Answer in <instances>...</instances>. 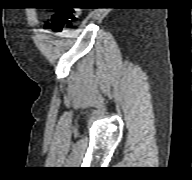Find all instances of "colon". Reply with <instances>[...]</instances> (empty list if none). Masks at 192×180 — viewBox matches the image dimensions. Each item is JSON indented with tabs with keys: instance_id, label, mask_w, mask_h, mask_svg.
Here are the masks:
<instances>
[{
	"instance_id": "obj_1",
	"label": "colon",
	"mask_w": 192,
	"mask_h": 180,
	"mask_svg": "<svg viewBox=\"0 0 192 180\" xmlns=\"http://www.w3.org/2000/svg\"><path fill=\"white\" fill-rule=\"evenodd\" d=\"M79 17L78 8H61L58 9L51 19L52 29L56 32H62L72 26Z\"/></svg>"
}]
</instances>
